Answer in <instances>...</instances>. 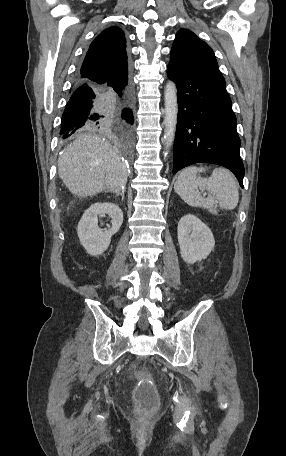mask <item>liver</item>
<instances>
[{
    "label": "liver",
    "instance_id": "obj_1",
    "mask_svg": "<svg viewBox=\"0 0 286 456\" xmlns=\"http://www.w3.org/2000/svg\"><path fill=\"white\" fill-rule=\"evenodd\" d=\"M58 174L72 194L88 197L104 188L119 193L127 182L128 168L108 141L83 135L63 150Z\"/></svg>",
    "mask_w": 286,
    "mask_h": 456
}]
</instances>
